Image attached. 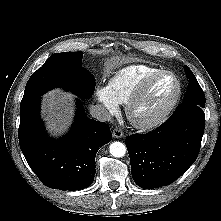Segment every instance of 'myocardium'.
Returning a JSON list of instances; mask_svg holds the SVG:
<instances>
[{"label": "myocardium", "instance_id": "obj_1", "mask_svg": "<svg viewBox=\"0 0 221 221\" xmlns=\"http://www.w3.org/2000/svg\"><path fill=\"white\" fill-rule=\"evenodd\" d=\"M166 75L172 76L176 82V91H175L174 96L169 101V103L155 116H153L149 119H145V120L137 119L135 116V109L138 106V104L140 103V101L142 100V98L144 97L147 89L155 80H157L158 78H160L162 76H166ZM181 93H182V84H181V81L178 78V76L175 73H173L172 71L160 70V71L146 77L139 84V86L137 87V89L135 90V92L133 93V95L131 96V98L129 99V101L126 104V107H125L126 116H127L128 120L130 121V123L137 129L145 130V129L154 128V127L160 125L162 122H164L170 116V114L173 112L177 103L180 100Z\"/></svg>", "mask_w": 221, "mask_h": 221}]
</instances>
